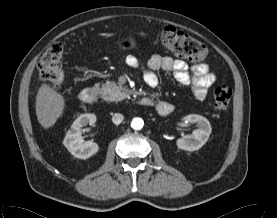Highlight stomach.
<instances>
[{
    "label": "stomach",
    "instance_id": "obj_1",
    "mask_svg": "<svg viewBox=\"0 0 277 218\" xmlns=\"http://www.w3.org/2000/svg\"><path fill=\"white\" fill-rule=\"evenodd\" d=\"M134 45H135V40L132 37H129L123 41L124 47L129 48V47H133Z\"/></svg>",
    "mask_w": 277,
    "mask_h": 218
}]
</instances>
